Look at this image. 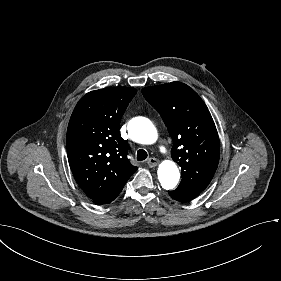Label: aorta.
<instances>
[{
    "mask_svg": "<svg viewBox=\"0 0 281 281\" xmlns=\"http://www.w3.org/2000/svg\"><path fill=\"white\" fill-rule=\"evenodd\" d=\"M129 133L132 139L141 144H153L158 133L153 123L144 117L135 118L129 123ZM158 179L161 186L166 189H174L179 182L180 172L173 161H163L158 167Z\"/></svg>",
    "mask_w": 281,
    "mask_h": 281,
    "instance_id": "obj_1",
    "label": "aorta"
}]
</instances>
